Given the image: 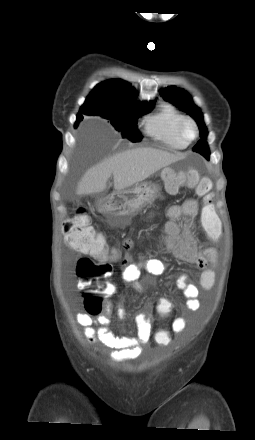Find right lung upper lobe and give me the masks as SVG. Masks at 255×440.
I'll return each instance as SVG.
<instances>
[{
    "instance_id": "right-lung-upper-lobe-1",
    "label": "right lung upper lobe",
    "mask_w": 255,
    "mask_h": 440,
    "mask_svg": "<svg viewBox=\"0 0 255 440\" xmlns=\"http://www.w3.org/2000/svg\"><path fill=\"white\" fill-rule=\"evenodd\" d=\"M137 93L130 83L112 79L99 83L87 97L88 100L100 101L111 105L140 103L136 101ZM149 102V103H153ZM79 116L77 115V121ZM77 123V122H76Z\"/></svg>"
}]
</instances>
